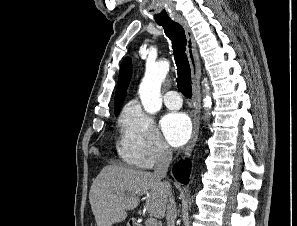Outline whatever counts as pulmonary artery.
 <instances>
[{"instance_id": "1", "label": "pulmonary artery", "mask_w": 297, "mask_h": 226, "mask_svg": "<svg viewBox=\"0 0 297 226\" xmlns=\"http://www.w3.org/2000/svg\"><path fill=\"white\" fill-rule=\"evenodd\" d=\"M165 105L172 110H177L182 105V100L176 91H168L164 96Z\"/></svg>"}]
</instances>
